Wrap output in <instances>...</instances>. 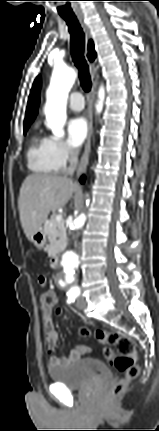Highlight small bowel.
<instances>
[{
  "label": "small bowel",
  "mask_w": 159,
  "mask_h": 431,
  "mask_svg": "<svg viewBox=\"0 0 159 431\" xmlns=\"http://www.w3.org/2000/svg\"><path fill=\"white\" fill-rule=\"evenodd\" d=\"M38 281L41 286L46 287L48 283V279L46 274H41L39 276ZM49 288L45 289L40 294V303H41V309L43 313V323H44V331H45V339L47 343V352L49 354L48 358V366L51 367H63L66 366L78 359H80L82 356L90 352V347L87 345H79L72 349L70 353L63 357H56L54 355V352L58 346L59 343V335L58 332L55 329L54 322H53V316H52V308L57 303V296L56 301L53 304L48 303V290ZM57 315V313H56Z\"/></svg>",
  "instance_id": "small-bowel-1"
}]
</instances>
